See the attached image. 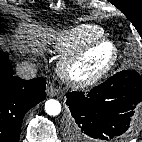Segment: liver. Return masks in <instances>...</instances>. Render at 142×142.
<instances>
[{
    "label": "liver",
    "instance_id": "1",
    "mask_svg": "<svg viewBox=\"0 0 142 142\" xmlns=\"http://www.w3.org/2000/svg\"><path fill=\"white\" fill-rule=\"evenodd\" d=\"M41 29V28H38L36 30L33 29V27H31L30 30H27L26 32L32 36H29L28 39L30 40L31 44L33 45H39V41L37 40L36 37H41V38H45L46 37V32Z\"/></svg>",
    "mask_w": 142,
    "mask_h": 142
}]
</instances>
